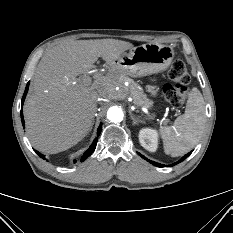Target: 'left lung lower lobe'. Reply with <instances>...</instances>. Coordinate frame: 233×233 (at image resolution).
<instances>
[{
  "mask_svg": "<svg viewBox=\"0 0 233 233\" xmlns=\"http://www.w3.org/2000/svg\"><path fill=\"white\" fill-rule=\"evenodd\" d=\"M191 152H192V151H191ZM191 152L188 153V154H186V155L183 156L178 162H176V163H174V164H172V165H170V166H174V165H176L177 163L182 162L183 160H185V159L191 154ZM138 154H139L142 158H144L145 160H147L148 162H150L151 164H153V165H155V166H157V167H165V165H163V164H160V163L151 161V160L147 159L146 157H144L143 155H141L140 153H138ZM167 166H169V165H167Z\"/></svg>",
  "mask_w": 233,
  "mask_h": 233,
  "instance_id": "1",
  "label": "left lung lower lobe"
}]
</instances>
